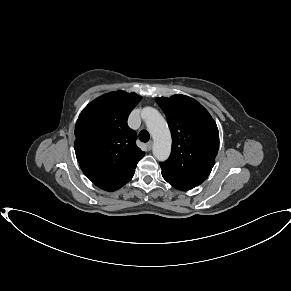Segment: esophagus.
<instances>
[{"label":"esophagus","instance_id":"obj_1","mask_svg":"<svg viewBox=\"0 0 291 291\" xmlns=\"http://www.w3.org/2000/svg\"><path fill=\"white\" fill-rule=\"evenodd\" d=\"M152 145H153V142H152V141H149V142L146 144L148 150H151V149H152Z\"/></svg>","mask_w":291,"mask_h":291}]
</instances>
